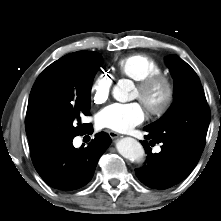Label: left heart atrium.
I'll return each mask as SVG.
<instances>
[{"instance_id": "1", "label": "left heart atrium", "mask_w": 221, "mask_h": 221, "mask_svg": "<svg viewBox=\"0 0 221 221\" xmlns=\"http://www.w3.org/2000/svg\"><path fill=\"white\" fill-rule=\"evenodd\" d=\"M145 119V110L141 103H115L102 109L96 117V123L101 128L117 132H128L141 124Z\"/></svg>"}]
</instances>
